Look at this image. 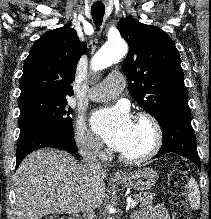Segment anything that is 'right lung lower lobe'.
<instances>
[{
  "instance_id": "right-lung-lower-lobe-1",
  "label": "right lung lower lobe",
  "mask_w": 211,
  "mask_h": 219,
  "mask_svg": "<svg viewBox=\"0 0 211 219\" xmlns=\"http://www.w3.org/2000/svg\"><path fill=\"white\" fill-rule=\"evenodd\" d=\"M43 147L58 148L70 153L78 151L73 134H67L53 128L35 129L24 135H19L16 168L29 153Z\"/></svg>"
}]
</instances>
